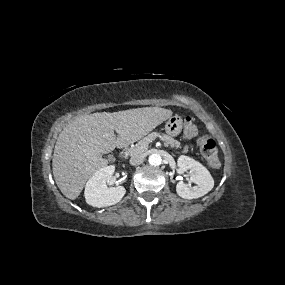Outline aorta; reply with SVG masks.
Instances as JSON below:
<instances>
[{"instance_id": "aorta-1", "label": "aorta", "mask_w": 285, "mask_h": 285, "mask_svg": "<svg viewBox=\"0 0 285 285\" xmlns=\"http://www.w3.org/2000/svg\"><path fill=\"white\" fill-rule=\"evenodd\" d=\"M149 164L153 166H159L162 163V157L160 154L154 153L149 156Z\"/></svg>"}]
</instances>
